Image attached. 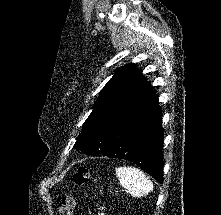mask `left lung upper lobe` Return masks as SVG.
<instances>
[{"mask_svg": "<svg viewBox=\"0 0 221 215\" xmlns=\"http://www.w3.org/2000/svg\"><path fill=\"white\" fill-rule=\"evenodd\" d=\"M149 88L135 65L119 68L101 90L74 147L85 153L102 154L115 126Z\"/></svg>", "mask_w": 221, "mask_h": 215, "instance_id": "obj_1", "label": "left lung upper lobe"}]
</instances>
